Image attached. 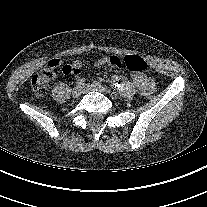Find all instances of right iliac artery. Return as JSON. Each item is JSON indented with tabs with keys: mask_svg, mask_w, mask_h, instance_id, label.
<instances>
[{
	"mask_svg": "<svg viewBox=\"0 0 207 207\" xmlns=\"http://www.w3.org/2000/svg\"><path fill=\"white\" fill-rule=\"evenodd\" d=\"M77 86H84L85 85V79L84 78H80L77 80L76 82Z\"/></svg>",
	"mask_w": 207,
	"mask_h": 207,
	"instance_id": "right-iliac-artery-1",
	"label": "right iliac artery"
}]
</instances>
